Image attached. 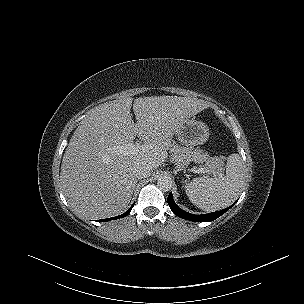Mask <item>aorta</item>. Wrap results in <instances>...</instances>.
Here are the masks:
<instances>
[{
	"label": "aorta",
	"instance_id": "762f6f07",
	"mask_svg": "<svg viewBox=\"0 0 304 304\" xmlns=\"http://www.w3.org/2000/svg\"><path fill=\"white\" fill-rule=\"evenodd\" d=\"M158 187L163 191H169L172 188V180L166 175H160L157 180Z\"/></svg>",
	"mask_w": 304,
	"mask_h": 304
}]
</instances>
